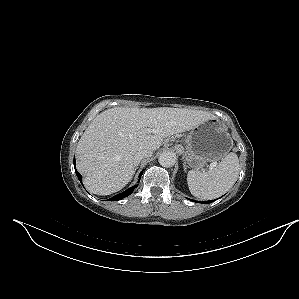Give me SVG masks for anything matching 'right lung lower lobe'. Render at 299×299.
Segmentation results:
<instances>
[{"label":"right lung lower lobe","mask_w":299,"mask_h":299,"mask_svg":"<svg viewBox=\"0 0 299 299\" xmlns=\"http://www.w3.org/2000/svg\"><path fill=\"white\" fill-rule=\"evenodd\" d=\"M74 167H75L76 175H77L78 179H79L80 182H81V181H82V176H81V174L76 170V163H75V161H74ZM142 174H143V172L140 173V175H139V180H140ZM136 187H137V185H134V186L128 188L127 190H125L124 192L115 195L114 197L110 198L109 200H113V201L121 200L122 198L129 196V195L133 192V190H134Z\"/></svg>","instance_id":"1"}]
</instances>
